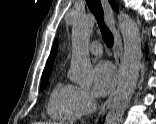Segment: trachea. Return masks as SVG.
Listing matches in <instances>:
<instances>
[{
  "instance_id": "obj_1",
  "label": "trachea",
  "mask_w": 156,
  "mask_h": 124,
  "mask_svg": "<svg viewBox=\"0 0 156 124\" xmlns=\"http://www.w3.org/2000/svg\"><path fill=\"white\" fill-rule=\"evenodd\" d=\"M90 11L95 15L102 34V38L108 47H112L114 38L111 31L107 28L103 20V9L100 0H86Z\"/></svg>"
}]
</instances>
